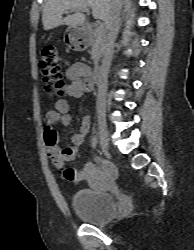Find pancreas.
<instances>
[{"label":"pancreas","instance_id":"obj_1","mask_svg":"<svg viewBox=\"0 0 194 250\" xmlns=\"http://www.w3.org/2000/svg\"><path fill=\"white\" fill-rule=\"evenodd\" d=\"M92 47L91 59L97 63L101 58L104 50L105 31L103 29H95L91 32Z\"/></svg>","mask_w":194,"mask_h":250}]
</instances>
